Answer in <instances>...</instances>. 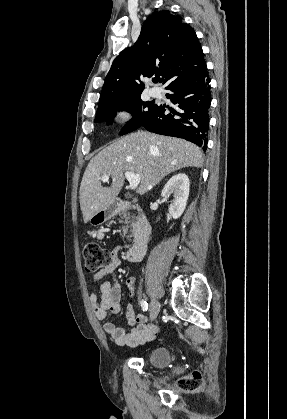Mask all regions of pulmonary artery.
<instances>
[{
    "mask_svg": "<svg viewBox=\"0 0 287 419\" xmlns=\"http://www.w3.org/2000/svg\"><path fill=\"white\" fill-rule=\"evenodd\" d=\"M149 94H150V96H152V97H156V96H158L159 95V92H158V90L157 89H150V91H149Z\"/></svg>",
    "mask_w": 287,
    "mask_h": 419,
    "instance_id": "1",
    "label": "pulmonary artery"
}]
</instances>
